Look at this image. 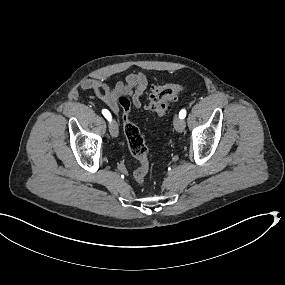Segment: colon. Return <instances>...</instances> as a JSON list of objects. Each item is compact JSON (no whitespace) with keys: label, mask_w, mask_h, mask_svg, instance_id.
<instances>
[{"label":"colon","mask_w":285,"mask_h":285,"mask_svg":"<svg viewBox=\"0 0 285 285\" xmlns=\"http://www.w3.org/2000/svg\"><path fill=\"white\" fill-rule=\"evenodd\" d=\"M184 89L183 85L166 84L152 87L146 107L159 117L166 114L169 104L175 100ZM122 112L123 130L132 156L138 160L139 166L134 172V179L138 184H143L150 169L148 148L139 128L130 120V111L133 97L122 94L118 98Z\"/></svg>","instance_id":"1"}]
</instances>
